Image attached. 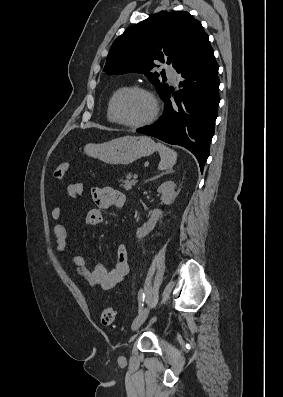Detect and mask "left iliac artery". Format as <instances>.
Here are the masks:
<instances>
[{"instance_id": "left-iliac-artery-1", "label": "left iliac artery", "mask_w": 283, "mask_h": 397, "mask_svg": "<svg viewBox=\"0 0 283 397\" xmlns=\"http://www.w3.org/2000/svg\"><path fill=\"white\" fill-rule=\"evenodd\" d=\"M144 292L142 289L139 290L138 293V302H139V312L143 310V306H144Z\"/></svg>"}]
</instances>
